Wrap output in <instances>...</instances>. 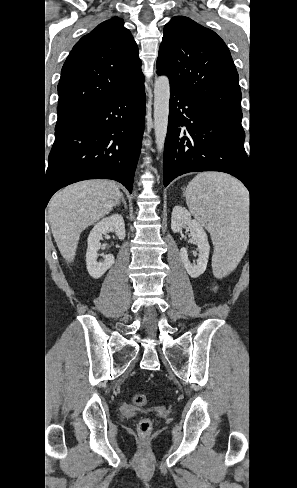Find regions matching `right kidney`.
<instances>
[{"instance_id": "right-kidney-1", "label": "right kidney", "mask_w": 297, "mask_h": 488, "mask_svg": "<svg viewBox=\"0 0 297 488\" xmlns=\"http://www.w3.org/2000/svg\"><path fill=\"white\" fill-rule=\"evenodd\" d=\"M109 231H114L120 240L125 238V224L123 217L120 214L115 213L109 217L103 218L94 225L88 236L86 264L88 272L93 278H100L114 264L115 258L112 254L105 255L103 262L97 261V252L101 246L100 239L103 234H106Z\"/></svg>"}]
</instances>
